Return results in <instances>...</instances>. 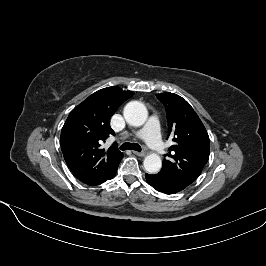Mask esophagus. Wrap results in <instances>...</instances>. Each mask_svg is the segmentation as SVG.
I'll use <instances>...</instances> for the list:
<instances>
[{
	"label": "esophagus",
	"instance_id": "esophagus-1",
	"mask_svg": "<svg viewBox=\"0 0 266 266\" xmlns=\"http://www.w3.org/2000/svg\"><path fill=\"white\" fill-rule=\"evenodd\" d=\"M133 153L137 156H140V157H143L145 156V152L144 151H141V152H138V151H133Z\"/></svg>",
	"mask_w": 266,
	"mask_h": 266
}]
</instances>
